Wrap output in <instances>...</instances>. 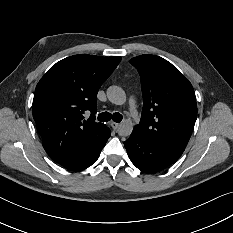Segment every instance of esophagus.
<instances>
[{
	"mask_svg": "<svg viewBox=\"0 0 233 233\" xmlns=\"http://www.w3.org/2000/svg\"><path fill=\"white\" fill-rule=\"evenodd\" d=\"M110 125L114 130H116L119 127V123H117V122H111Z\"/></svg>",
	"mask_w": 233,
	"mask_h": 233,
	"instance_id": "esophagus-1",
	"label": "esophagus"
}]
</instances>
